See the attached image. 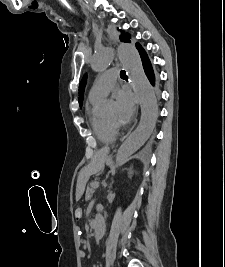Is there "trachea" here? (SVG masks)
Segmentation results:
<instances>
[{"label": "trachea", "mask_w": 225, "mask_h": 267, "mask_svg": "<svg viewBox=\"0 0 225 267\" xmlns=\"http://www.w3.org/2000/svg\"><path fill=\"white\" fill-rule=\"evenodd\" d=\"M120 76H121V77H127L126 72H125V71H121V72H120Z\"/></svg>", "instance_id": "obj_1"}]
</instances>
